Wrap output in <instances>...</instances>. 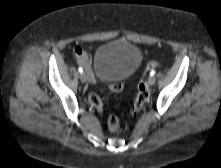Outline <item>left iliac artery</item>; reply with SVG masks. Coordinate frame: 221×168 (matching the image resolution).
Listing matches in <instances>:
<instances>
[{"instance_id":"44dca946","label":"left iliac artery","mask_w":221,"mask_h":168,"mask_svg":"<svg viewBox=\"0 0 221 168\" xmlns=\"http://www.w3.org/2000/svg\"><path fill=\"white\" fill-rule=\"evenodd\" d=\"M155 70H152L151 72H150V76H154L155 75Z\"/></svg>"}]
</instances>
